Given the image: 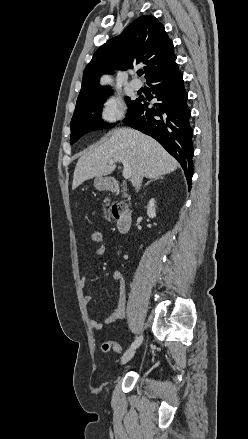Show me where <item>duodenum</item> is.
Instances as JSON below:
<instances>
[{
  "mask_svg": "<svg viewBox=\"0 0 248 439\" xmlns=\"http://www.w3.org/2000/svg\"><path fill=\"white\" fill-rule=\"evenodd\" d=\"M108 190L111 192L119 193L122 190L120 183L116 180H112L108 184ZM113 216L116 220V227L119 233H126L132 223L131 213L124 204L117 203L112 209Z\"/></svg>",
  "mask_w": 248,
  "mask_h": 439,
  "instance_id": "410a0bca",
  "label": "duodenum"
}]
</instances>
